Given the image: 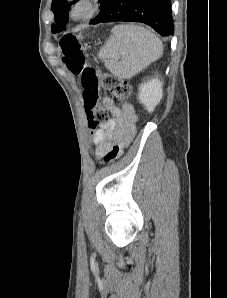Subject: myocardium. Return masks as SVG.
I'll return each instance as SVG.
<instances>
[{
	"mask_svg": "<svg viewBox=\"0 0 227 298\" xmlns=\"http://www.w3.org/2000/svg\"><path fill=\"white\" fill-rule=\"evenodd\" d=\"M96 12L93 0H74L69 9V17L75 22L90 19Z\"/></svg>",
	"mask_w": 227,
	"mask_h": 298,
	"instance_id": "f54148a6",
	"label": "myocardium"
}]
</instances>
